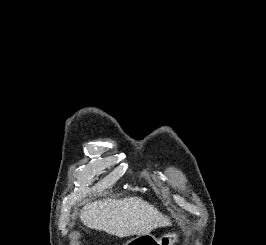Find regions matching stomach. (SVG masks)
Listing matches in <instances>:
<instances>
[{"label": "stomach", "instance_id": "1", "mask_svg": "<svg viewBox=\"0 0 266 245\" xmlns=\"http://www.w3.org/2000/svg\"><path fill=\"white\" fill-rule=\"evenodd\" d=\"M137 238L140 242H153V237H151V233H137ZM177 241V235H164L161 237L160 241H158V245H174Z\"/></svg>", "mask_w": 266, "mask_h": 245}]
</instances>
